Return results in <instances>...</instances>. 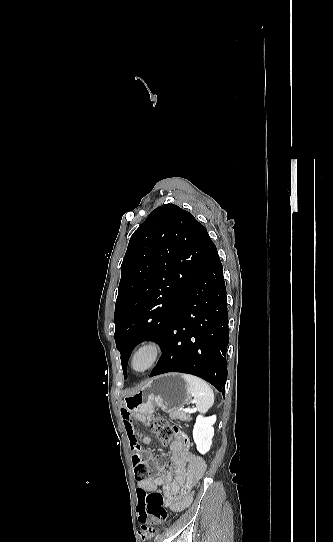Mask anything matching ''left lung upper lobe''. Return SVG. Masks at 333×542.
<instances>
[{
    "mask_svg": "<svg viewBox=\"0 0 333 542\" xmlns=\"http://www.w3.org/2000/svg\"><path fill=\"white\" fill-rule=\"evenodd\" d=\"M194 216L174 204L157 207L130 238L115 304V342L126 377L133 348L160 346L182 298L213 246Z\"/></svg>",
    "mask_w": 333,
    "mask_h": 542,
    "instance_id": "5c2ea615",
    "label": "left lung upper lobe"
}]
</instances>
